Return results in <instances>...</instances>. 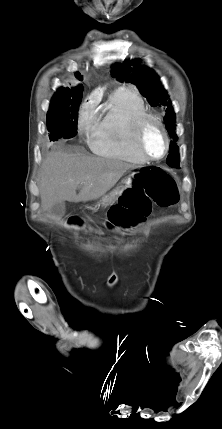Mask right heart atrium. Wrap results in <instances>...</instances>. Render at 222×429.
I'll list each match as a JSON object with an SVG mask.
<instances>
[{
    "label": "right heart atrium",
    "instance_id": "d8ad5b80",
    "mask_svg": "<svg viewBox=\"0 0 222 429\" xmlns=\"http://www.w3.org/2000/svg\"><path fill=\"white\" fill-rule=\"evenodd\" d=\"M99 124V113L95 98L85 101L78 115V132L81 135L92 133Z\"/></svg>",
    "mask_w": 222,
    "mask_h": 429
}]
</instances>
